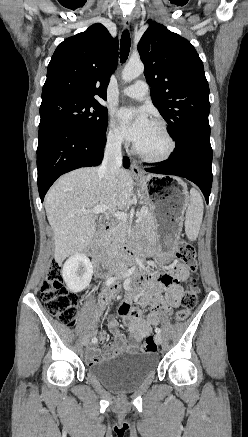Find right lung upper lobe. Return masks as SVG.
<instances>
[{
    "label": "right lung upper lobe",
    "mask_w": 248,
    "mask_h": 437,
    "mask_svg": "<svg viewBox=\"0 0 248 437\" xmlns=\"http://www.w3.org/2000/svg\"><path fill=\"white\" fill-rule=\"evenodd\" d=\"M118 40L99 23L65 39L47 69L42 98L69 95L99 103L118 62Z\"/></svg>",
    "instance_id": "cb5924a9"
}]
</instances>
